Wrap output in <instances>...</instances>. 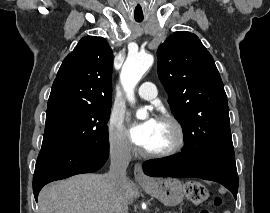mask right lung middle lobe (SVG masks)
<instances>
[{"instance_id":"dd1d6c3e","label":"right lung middle lobe","mask_w":270,"mask_h":213,"mask_svg":"<svg viewBox=\"0 0 270 213\" xmlns=\"http://www.w3.org/2000/svg\"><path fill=\"white\" fill-rule=\"evenodd\" d=\"M111 106L61 105L48 108L41 149L80 148L108 142Z\"/></svg>"}]
</instances>
